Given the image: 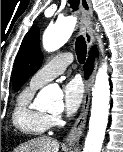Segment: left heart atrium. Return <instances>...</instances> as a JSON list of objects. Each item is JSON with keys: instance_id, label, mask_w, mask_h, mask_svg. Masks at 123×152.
Segmentation results:
<instances>
[{"instance_id": "1", "label": "left heart atrium", "mask_w": 123, "mask_h": 152, "mask_svg": "<svg viewBox=\"0 0 123 152\" xmlns=\"http://www.w3.org/2000/svg\"><path fill=\"white\" fill-rule=\"evenodd\" d=\"M83 85L77 78L66 81L63 85L64 109L68 115L75 113L83 99Z\"/></svg>"}]
</instances>
